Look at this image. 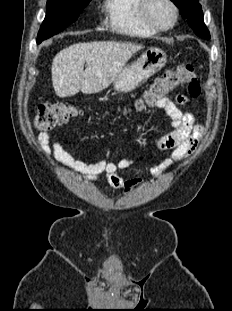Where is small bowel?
<instances>
[{"instance_id": "1", "label": "small bowel", "mask_w": 232, "mask_h": 311, "mask_svg": "<svg viewBox=\"0 0 232 311\" xmlns=\"http://www.w3.org/2000/svg\"><path fill=\"white\" fill-rule=\"evenodd\" d=\"M188 103L189 98L184 95H177L174 99L165 97L156 103V107L168 117L172 130L154 137L156 147L162 151H170L171 154L159 165L150 169L153 177L160 176L176 162L190 154L203 134V128L195 122L194 115L190 112H182L179 108V105ZM38 143L47 158L54 159L65 168L75 171L85 181L94 182L105 176L112 188L122 189L124 192H129L150 181L142 177L124 179L118 173L143 162L144 156L120 158L117 161H110L108 156H104L96 162L87 163L75 159L63 147L61 139L52 140L50 133H41Z\"/></svg>"}]
</instances>
